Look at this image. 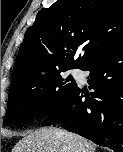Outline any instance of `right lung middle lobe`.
Instances as JSON below:
<instances>
[{"instance_id": "right-lung-middle-lobe-1", "label": "right lung middle lobe", "mask_w": 123, "mask_h": 152, "mask_svg": "<svg viewBox=\"0 0 123 152\" xmlns=\"http://www.w3.org/2000/svg\"><path fill=\"white\" fill-rule=\"evenodd\" d=\"M68 69L54 70L45 78L37 76L20 83L9 93L4 123L20 125L61 109L77 88L72 76L61 77L60 73Z\"/></svg>"}]
</instances>
